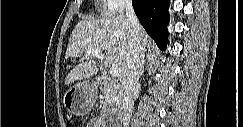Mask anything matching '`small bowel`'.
<instances>
[{
	"mask_svg": "<svg viewBox=\"0 0 243 127\" xmlns=\"http://www.w3.org/2000/svg\"><path fill=\"white\" fill-rule=\"evenodd\" d=\"M100 123L101 122L97 119L91 120L89 122V127H101Z\"/></svg>",
	"mask_w": 243,
	"mask_h": 127,
	"instance_id": "obj_1",
	"label": "small bowel"
}]
</instances>
